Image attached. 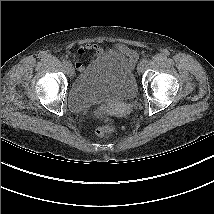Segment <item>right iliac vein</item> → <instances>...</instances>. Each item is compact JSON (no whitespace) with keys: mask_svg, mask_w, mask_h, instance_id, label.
Here are the masks:
<instances>
[{"mask_svg":"<svg viewBox=\"0 0 214 214\" xmlns=\"http://www.w3.org/2000/svg\"><path fill=\"white\" fill-rule=\"evenodd\" d=\"M66 66H67V68H68L70 77H73V76H74V70H73V68H72V64H71V63H68Z\"/></svg>","mask_w":214,"mask_h":214,"instance_id":"63e3f726","label":"right iliac vein"}]
</instances>
